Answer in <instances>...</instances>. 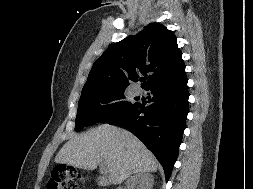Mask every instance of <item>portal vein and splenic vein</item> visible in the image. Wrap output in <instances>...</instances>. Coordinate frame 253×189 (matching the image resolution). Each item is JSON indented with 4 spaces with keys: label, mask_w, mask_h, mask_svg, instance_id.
Masks as SVG:
<instances>
[{
    "label": "portal vein and splenic vein",
    "mask_w": 253,
    "mask_h": 189,
    "mask_svg": "<svg viewBox=\"0 0 253 189\" xmlns=\"http://www.w3.org/2000/svg\"><path fill=\"white\" fill-rule=\"evenodd\" d=\"M102 170H103V171H106V168H105V166H104L103 163H102Z\"/></svg>",
    "instance_id": "portal-vein-and-splenic-vein-1"
}]
</instances>
